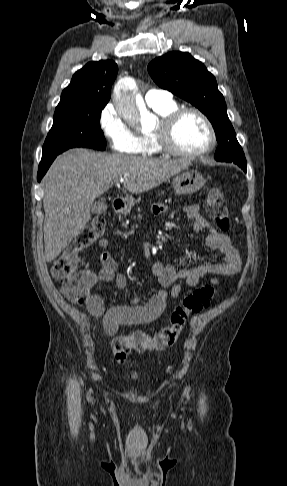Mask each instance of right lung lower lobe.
<instances>
[{
  "label": "right lung lower lobe",
  "mask_w": 287,
  "mask_h": 486,
  "mask_svg": "<svg viewBox=\"0 0 287 486\" xmlns=\"http://www.w3.org/2000/svg\"><path fill=\"white\" fill-rule=\"evenodd\" d=\"M56 158V156L47 158V159H42L40 164H39V169H38V174H37V180L38 182L41 181L42 177L45 175L47 172L48 168L50 167L51 163L53 160Z\"/></svg>",
  "instance_id": "1"
}]
</instances>
